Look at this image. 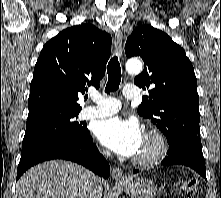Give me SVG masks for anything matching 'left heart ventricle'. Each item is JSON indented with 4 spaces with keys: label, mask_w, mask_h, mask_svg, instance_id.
Returning a JSON list of instances; mask_svg holds the SVG:
<instances>
[{
    "label": "left heart ventricle",
    "mask_w": 221,
    "mask_h": 198,
    "mask_svg": "<svg viewBox=\"0 0 221 198\" xmlns=\"http://www.w3.org/2000/svg\"><path fill=\"white\" fill-rule=\"evenodd\" d=\"M153 148V143L151 140L144 138L142 139V143L134 156H145L151 152Z\"/></svg>",
    "instance_id": "1"
}]
</instances>
